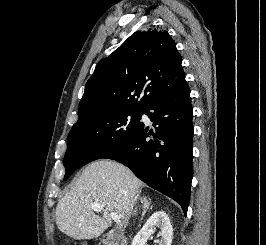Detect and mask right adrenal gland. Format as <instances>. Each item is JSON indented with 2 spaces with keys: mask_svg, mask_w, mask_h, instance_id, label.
Returning <instances> with one entry per match:
<instances>
[{
  "mask_svg": "<svg viewBox=\"0 0 266 245\" xmlns=\"http://www.w3.org/2000/svg\"><path fill=\"white\" fill-rule=\"evenodd\" d=\"M141 201H142L143 213L141 215L140 221H143V217L146 211H148V209H152V205H151V199H148V197H141ZM139 227H141V225H139Z\"/></svg>",
  "mask_w": 266,
  "mask_h": 245,
  "instance_id": "2a0ac1e0",
  "label": "right adrenal gland"
}]
</instances>
